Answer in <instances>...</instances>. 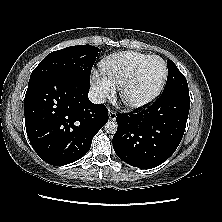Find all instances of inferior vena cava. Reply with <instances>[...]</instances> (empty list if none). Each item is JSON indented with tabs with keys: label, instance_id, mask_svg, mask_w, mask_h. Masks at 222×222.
<instances>
[{
	"label": "inferior vena cava",
	"instance_id": "obj_1",
	"mask_svg": "<svg viewBox=\"0 0 222 222\" xmlns=\"http://www.w3.org/2000/svg\"><path fill=\"white\" fill-rule=\"evenodd\" d=\"M88 97H89V100L94 104H102L105 102V99H106L105 94L94 91V90L89 91Z\"/></svg>",
	"mask_w": 222,
	"mask_h": 222
}]
</instances>
